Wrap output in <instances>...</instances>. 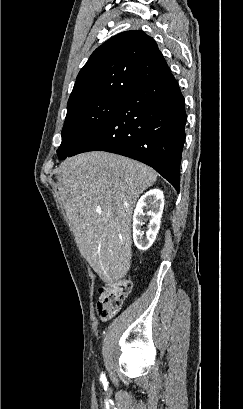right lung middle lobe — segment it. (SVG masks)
Listing matches in <instances>:
<instances>
[{"instance_id":"right-lung-middle-lobe-1","label":"right lung middle lobe","mask_w":243,"mask_h":409,"mask_svg":"<svg viewBox=\"0 0 243 409\" xmlns=\"http://www.w3.org/2000/svg\"><path fill=\"white\" fill-rule=\"evenodd\" d=\"M126 98H99L67 106L62 143L57 150L65 159L82 142L99 131L118 111Z\"/></svg>"}]
</instances>
